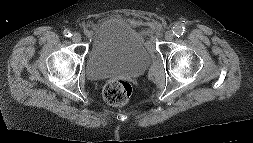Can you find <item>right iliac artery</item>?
Returning a JSON list of instances; mask_svg holds the SVG:
<instances>
[{
	"mask_svg": "<svg viewBox=\"0 0 253 143\" xmlns=\"http://www.w3.org/2000/svg\"><path fill=\"white\" fill-rule=\"evenodd\" d=\"M64 35H65L66 37H71V36H72V34L70 33L69 30H65V31H64Z\"/></svg>",
	"mask_w": 253,
	"mask_h": 143,
	"instance_id": "right-iliac-artery-1",
	"label": "right iliac artery"
}]
</instances>
